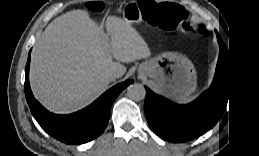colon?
I'll use <instances>...</instances> for the list:
<instances>
[{"mask_svg":"<svg viewBox=\"0 0 259 156\" xmlns=\"http://www.w3.org/2000/svg\"><path fill=\"white\" fill-rule=\"evenodd\" d=\"M89 9L94 12H100L104 9V5L101 2H93L89 4ZM147 19L149 21H155L156 15L154 13H150L149 15H147Z\"/></svg>","mask_w":259,"mask_h":156,"instance_id":"1","label":"colon"}]
</instances>
